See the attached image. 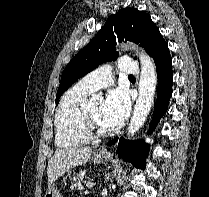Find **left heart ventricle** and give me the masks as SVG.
Here are the masks:
<instances>
[{
    "mask_svg": "<svg viewBox=\"0 0 209 197\" xmlns=\"http://www.w3.org/2000/svg\"><path fill=\"white\" fill-rule=\"evenodd\" d=\"M103 102H95L88 105L89 112L96 122V124L102 128H108V126L102 121L101 118V109H102Z\"/></svg>",
    "mask_w": 209,
    "mask_h": 197,
    "instance_id": "1",
    "label": "left heart ventricle"
}]
</instances>
